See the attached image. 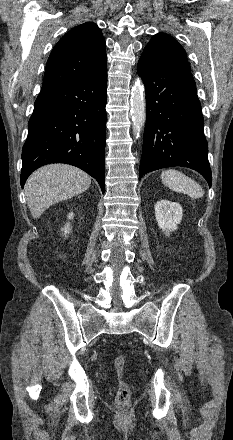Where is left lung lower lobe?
<instances>
[{
	"label": "left lung lower lobe",
	"mask_w": 233,
	"mask_h": 440,
	"mask_svg": "<svg viewBox=\"0 0 233 440\" xmlns=\"http://www.w3.org/2000/svg\"><path fill=\"white\" fill-rule=\"evenodd\" d=\"M137 72L146 90V125L139 179L157 169L183 166L211 186L204 119L190 71L141 55Z\"/></svg>",
	"instance_id": "0a47b994"
}]
</instances>
